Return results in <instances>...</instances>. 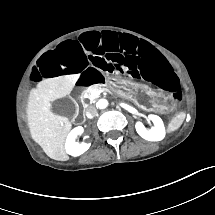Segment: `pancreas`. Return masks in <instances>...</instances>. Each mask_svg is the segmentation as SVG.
I'll return each instance as SVG.
<instances>
[{
    "label": "pancreas",
    "mask_w": 215,
    "mask_h": 215,
    "mask_svg": "<svg viewBox=\"0 0 215 215\" xmlns=\"http://www.w3.org/2000/svg\"><path fill=\"white\" fill-rule=\"evenodd\" d=\"M99 88H100L99 85H92L88 87L87 90L84 91V94H87L88 99L90 100L91 103L97 98V96L93 94V90H98ZM110 90L116 93L117 96H124L122 91L119 88H117L116 85L113 83L110 87Z\"/></svg>",
    "instance_id": "obj_1"
}]
</instances>
